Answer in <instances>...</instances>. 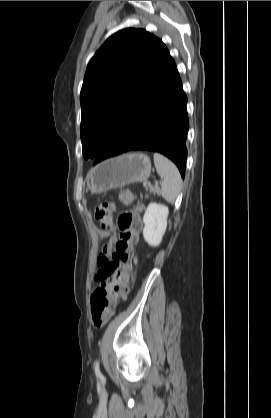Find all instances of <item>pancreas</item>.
Here are the masks:
<instances>
[{"mask_svg": "<svg viewBox=\"0 0 271 418\" xmlns=\"http://www.w3.org/2000/svg\"><path fill=\"white\" fill-rule=\"evenodd\" d=\"M145 188H146V190H149L153 194H155V193L159 194L160 193V189L157 185H155V186L148 185Z\"/></svg>", "mask_w": 271, "mask_h": 418, "instance_id": "1", "label": "pancreas"}]
</instances>
